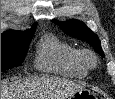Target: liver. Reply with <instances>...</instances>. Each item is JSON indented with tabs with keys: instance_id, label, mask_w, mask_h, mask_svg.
Instances as JSON below:
<instances>
[{
	"instance_id": "6515ba94",
	"label": "liver",
	"mask_w": 115,
	"mask_h": 99,
	"mask_svg": "<svg viewBox=\"0 0 115 99\" xmlns=\"http://www.w3.org/2000/svg\"><path fill=\"white\" fill-rule=\"evenodd\" d=\"M80 89L81 85L60 78H24L1 82V99H66Z\"/></svg>"
}]
</instances>
